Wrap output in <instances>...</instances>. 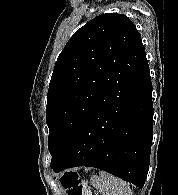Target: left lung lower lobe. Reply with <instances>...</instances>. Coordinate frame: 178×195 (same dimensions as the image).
I'll list each match as a JSON object with an SVG mask.
<instances>
[{
    "mask_svg": "<svg viewBox=\"0 0 178 195\" xmlns=\"http://www.w3.org/2000/svg\"><path fill=\"white\" fill-rule=\"evenodd\" d=\"M152 83L147 60L86 122L52 167L86 166L143 188L153 136Z\"/></svg>",
    "mask_w": 178,
    "mask_h": 195,
    "instance_id": "1",
    "label": "left lung lower lobe"
}]
</instances>
